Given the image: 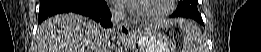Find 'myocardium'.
I'll return each mask as SVG.
<instances>
[{
	"instance_id": "obj_1",
	"label": "myocardium",
	"mask_w": 261,
	"mask_h": 52,
	"mask_svg": "<svg viewBox=\"0 0 261 52\" xmlns=\"http://www.w3.org/2000/svg\"><path fill=\"white\" fill-rule=\"evenodd\" d=\"M175 2H176L175 0H166L164 8L152 14H146L140 12L137 4H134L132 7H130V10L138 19L142 21L158 22L165 19L172 13Z\"/></svg>"
}]
</instances>
